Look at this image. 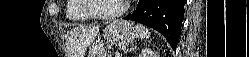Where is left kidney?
<instances>
[{
  "mask_svg": "<svg viewBox=\"0 0 249 57\" xmlns=\"http://www.w3.org/2000/svg\"><path fill=\"white\" fill-rule=\"evenodd\" d=\"M138 57H159L158 53L154 52L150 48L142 49L141 53H139Z\"/></svg>",
  "mask_w": 249,
  "mask_h": 57,
  "instance_id": "left-kidney-1",
  "label": "left kidney"
}]
</instances>
